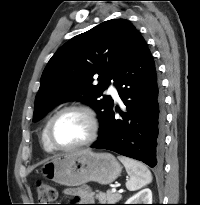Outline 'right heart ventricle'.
<instances>
[{"mask_svg": "<svg viewBox=\"0 0 200 205\" xmlns=\"http://www.w3.org/2000/svg\"><path fill=\"white\" fill-rule=\"evenodd\" d=\"M50 120V119H49ZM49 120L46 122L44 128H43V131H42V135H41V142H42V145L44 147V149L46 151H52L54 150L52 148V146L50 145V143L48 142V139H47V133H46V130H47V125H48V122Z\"/></svg>", "mask_w": 200, "mask_h": 205, "instance_id": "1", "label": "right heart ventricle"}]
</instances>
